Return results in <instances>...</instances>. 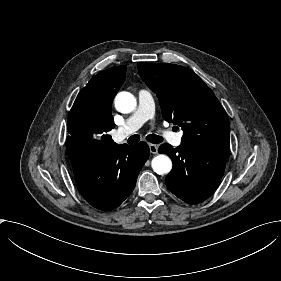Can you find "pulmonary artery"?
<instances>
[{"mask_svg":"<svg viewBox=\"0 0 281 281\" xmlns=\"http://www.w3.org/2000/svg\"><path fill=\"white\" fill-rule=\"evenodd\" d=\"M139 104L133 114L115 131L113 139L121 144L128 136L138 130L147 120L153 117L154 106L150 92L140 90L138 93ZM172 145L180 146L182 132L167 133Z\"/></svg>","mask_w":281,"mask_h":281,"instance_id":"e3ab8cb5","label":"pulmonary artery"}]
</instances>
